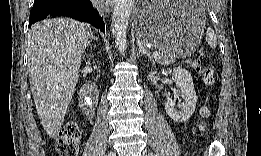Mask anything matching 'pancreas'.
Instances as JSON below:
<instances>
[{
  "label": "pancreas",
  "mask_w": 261,
  "mask_h": 156,
  "mask_svg": "<svg viewBox=\"0 0 261 156\" xmlns=\"http://www.w3.org/2000/svg\"><path fill=\"white\" fill-rule=\"evenodd\" d=\"M161 55L160 57L157 59V61L160 63V64H170V63H173L175 61V59L177 58L173 53H166L164 51H161Z\"/></svg>",
  "instance_id": "cf45deb5"
}]
</instances>
